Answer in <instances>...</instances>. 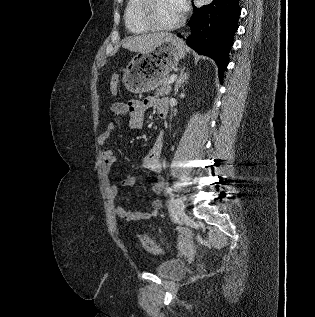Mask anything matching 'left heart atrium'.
I'll return each mask as SVG.
<instances>
[{"label": "left heart atrium", "instance_id": "obj_1", "mask_svg": "<svg viewBox=\"0 0 315 317\" xmlns=\"http://www.w3.org/2000/svg\"><path fill=\"white\" fill-rule=\"evenodd\" d=\"M177 11L182 14L187 8L186 0H173Z\"/></svg>", "mask_w": 315, "mask_h": 317}]
</instances>
